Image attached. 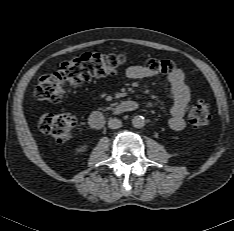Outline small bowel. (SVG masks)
<instances>
[{
  "mask_svg": "<svg viewBox=\"0 0 234 231\" xmlns=\"http://www.w3.org/2000/svg\"><path fill=\"white\" fill-rule=\"evenodd\" d=\"M155 74V72L142 65H132L126 70V76L130 79L148 78L153 77ZM168 80L173 98L169 126L174 131H180L185 127L184 114L190 101V89L185 81L184 72L180 68H174L169 74ZM147 106L151 107L152 103H147Z\"/></svg>",
  "mask_w": 234,
  "mask_h": 231,
  "instance_id": "c3829d8e",
  "label": "small bowel"
}]
</instances>
